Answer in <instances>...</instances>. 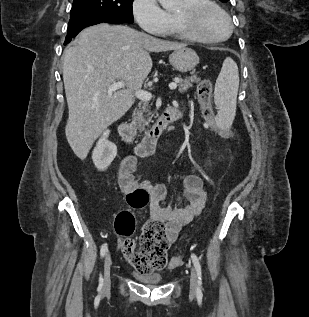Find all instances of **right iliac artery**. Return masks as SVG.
<instances>
[{"instance_id": "right-iliac-artery-1", "label": "right iliac artery", "mask_w": 309, "mask_h": 317, "mask_svg": "<svg viewBox=\"0 0 309 317\" xmlns=\"http://www.w3.org/2000/svg\"><path fill=\"white\" fill-rule=\"evenodd\" d=\"M108 251V245L107 243H104L102 246H101V250H100V256L101 258H103L106 254V252ZM103 285V278L102 276L100 275V278H99V288H101Z\"/></svg>"}]
</instances>
